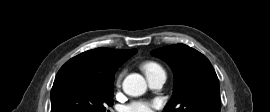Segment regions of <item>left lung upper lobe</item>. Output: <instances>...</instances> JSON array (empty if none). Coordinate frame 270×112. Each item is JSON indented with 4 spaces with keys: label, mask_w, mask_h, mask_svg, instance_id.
<instances>
[{
    "label": "left lung upper lobe",
    "mask_w": 270,
    "mask_h": 112,
    "mask_svg": "<svg viewBox=\"0 0 270 112\" xmlns=\"http://www.w3.org/2000/svg\"><path fill=\"white\" fill-rule=\"evenodd\" d=\"M151 54L174 70L175 89L165 112H220L218 78L203 54L181 43L153 50Z\"/></svg>",
    "instance_id": "5c2ea615"
}]
</instances>
